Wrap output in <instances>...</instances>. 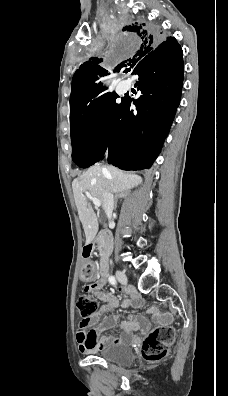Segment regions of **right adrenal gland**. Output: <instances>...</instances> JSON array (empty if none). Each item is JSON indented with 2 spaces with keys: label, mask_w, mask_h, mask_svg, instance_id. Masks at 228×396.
Wrapping results in <instances>:
<instances>
[{
  "label": "right adrenal gland",
  "mask_w": 228,
  "mask_h": 396,
  "mask_svg": "<svg viewBox=\"0 0 228 396\" xmlns=\"http://www.w3.org/2000/svg\"><path fill=\"white\" fill-rule=\"evenodd\" d=\"M127 196V192H120L115 195V206L114 209L117 208V202L119 198H125Z\"/></svg>",
  "instance_id": "2a0ac1e0"
}]
</instances>
